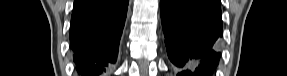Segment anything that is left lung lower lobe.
Listing matches in <instances>:
<instances>
[{
  "instance_id": "left-lung-lower-lobe-1",
  "label": "left lung lower lobe",
  "mask_w": 287,
  "mask_h": 76,
  "mask_svg": "<svg viewBox=\"0 0 287 76\" xmlns=\"http://www.w3.org/2000/svg\"><path fill=\"white\" fill-rule=\"evenodd\" d=\"M167 55L178 76H211L223 35L219 0H160Z\"/></svg>"
}]
</instances>
